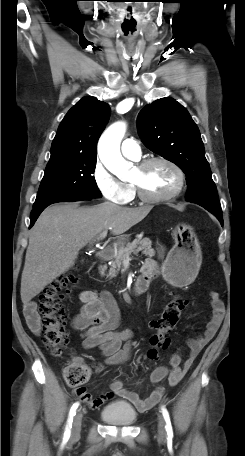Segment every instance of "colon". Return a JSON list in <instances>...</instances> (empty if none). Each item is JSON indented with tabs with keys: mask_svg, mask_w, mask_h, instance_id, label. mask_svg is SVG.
Segmentation results:
<instances>
[{
	"mask_svg": "<svg viewBox=\"0 0 245 456\" xmlns=\"http://www.w3.org/2000/svg\"><path fill=\"white\" fill-rule=\"evenodd\" d=\"M77 282L78 276L75 272L67 271L47 285L39 296L44 341L54 356L63 355L69 344L63 301ZM184 306L185 301L175 297L165 306L159 317L151 321L150 326L154 330L148 351L151 360H156L159 350L168 346L170 332L176 326ZM90 375V367L79 358L74 359L63 371L64 381L70 387H81Z\"/></svg>",
	"mask_w": 245,
	"mask_h": 456,
	"instance_id": "1",
	"label": "colon"
}]
</instances>
